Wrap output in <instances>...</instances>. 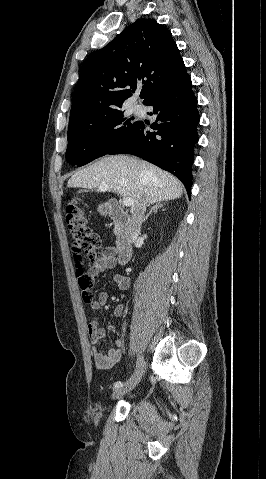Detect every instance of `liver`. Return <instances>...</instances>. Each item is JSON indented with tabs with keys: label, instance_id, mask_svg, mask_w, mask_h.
<instances>
[{
	"label": "liver",
	"instance_id": "1",
	"mask_svg": "<svg viewBox=\"0 0 266 479\" xmlns=\"http://www.w3.org/2000/svg\"><path fill=\"white\" fill-rule=\"evenodd\" d=\"M108 185L110 191L131 197L133 210L144 197L148 203H157L180 198L181 182L170 173L130 156L104 157L75 173L67 186L98 188Z\"/></svg>",
	"mask_w": 266,
	"mask_h": 479
}]
</instances>
